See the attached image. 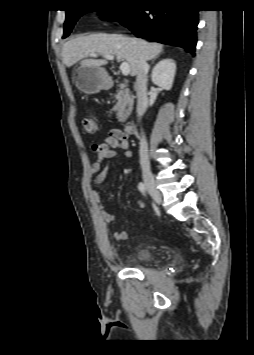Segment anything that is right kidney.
<instances>
[{
	"label": "right kidney",
	"instance_id": "1",
	"mask_svg": "<svg viewBox=\"0 0 254 355\" xmlns=\"http://www.w3.org/2000/svg\"><path fill=\"white\" fill-rule=\"evenodd\" d=\"M175 72V61L171 58L162 59L152 71V82L165 90H170L173 85Z\"/></svg>",
	"mask_w": 254,
	"mask_h": 355
}]
</instances>
